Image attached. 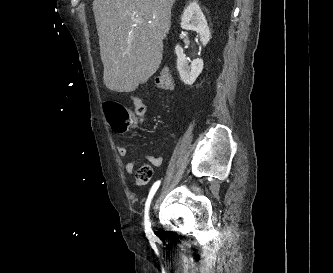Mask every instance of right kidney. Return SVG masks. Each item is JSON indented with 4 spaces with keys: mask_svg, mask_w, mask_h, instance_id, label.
I'll return each mask as SVG.
<instances>
[{
    "mask_svg": "<svg viewBox=\"0 0 333 273\" xmlns=\"http://www.w3.org/2000/svg\"><path fill=\"white\" fill-rule=\"evenodd\" d=\"M181 28L197 32L203 46L211 38L205 16L196 1L191 2L184 10L181 18ZM175 53L177 55V69L181 80L186 85H192L203 70V60L195 59L190 61L184 54L183 48L179 45H176Z\"/></svg>",
    "mask_w": 333,
    "mask_h": 273,
    "instance_id": "right-kidney-1",
    "label": "right kidney"
}]
</instances>
